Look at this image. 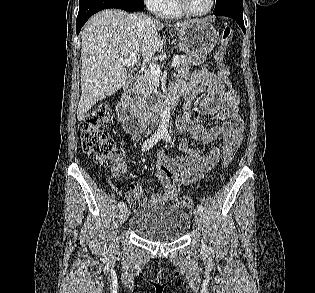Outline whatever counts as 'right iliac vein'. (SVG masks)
Listing matches in <instances>:
<instances>
[{"label":"right iliac vein","instance_id":"obj_1","mask_svg":"<svg viewBox=\"0 0 315 293\" xmlns=\"http://www.w3.org/2000/svg\"><path fill=\"white\" fill-rule=\"evenodd\" d=\"M128 215H129L128 208L126 206L122 207L119 211V221L121 224L127 220Z\"/></svg>","mask_w":315,"mask_h":293}]
</instances>
